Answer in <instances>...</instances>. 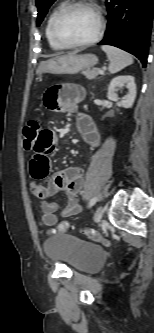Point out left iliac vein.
Wrapping results in <instances>:
<instances>
[{"instance_id": "left-iliac-vein-1", "label": "left iliac vein", "mask_w": 154, "mask_h": 333, "mask_svg": "<svg viewBox=\"0 0 154 333\" xmlns=\"http://www.w3.org/2000/svg\"><path fill=\"white\" fill-rule=\"evenodd\" d=\"M104 209L102 206H99L94 212L93 220L94 222H99L102 219Z\"/></svg>"}]
</instances>
